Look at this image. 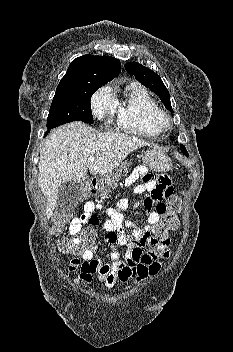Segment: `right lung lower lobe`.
<instances>
[{"label":"right lung lower lobe","mask_w":233,"mask_h":352,"mask_svg":"<svg viewBox=\"0 0 233 352\" xmlns=\"http://www.w3.org/2000/svg\"><path fill=\"white\" fill-rule=\"evenodd\" d=\"M47 133H48V132H46L44 136H46V135H47Z\"/></svg>","instance_id":"1"}]
</instances>
